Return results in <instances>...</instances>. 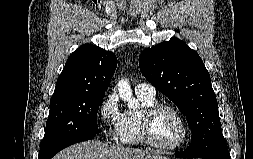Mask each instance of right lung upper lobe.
Segmentation results:
<instances>
[{"label":"right lung upper lobe","mask_w":253,"mask_h":159,"mask_svg":"<svg viewBox=\"0 0 253 159\" xmlns=\"http://www.w3.org/2000/svg\"><path fill=\"white\" fill-rule=\"evenodd\" d=\"M116 66L114 53L91 44L81 45L69 56L52 98L79 93L105 94Z\"/></svg>","instance_id":"1"}]
</instances>
